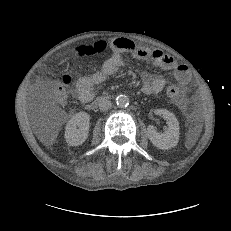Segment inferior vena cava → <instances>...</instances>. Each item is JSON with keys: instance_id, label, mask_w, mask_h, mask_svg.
Instances as JSON below:
<instances>
[{"instance_id": "obj_1", "label": "inferior vena cava", "mask_w": 231, "mask_h": 231, "mask_svg": "<svg viewBox=\"0 0 231 231\" xmlns=\"http://www.w3.org/2000/svg\"><path fill=\"white\" fill-rule=\"evenodd\" d=\"M98 105H99V109L101 111H107L108 109H110L112 107L111 101H109L106 98H100L98 100Z\"/></svg>"}]
</instances>
